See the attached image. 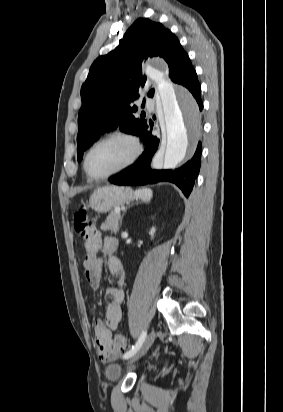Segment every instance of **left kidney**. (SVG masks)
<instances>
[{"label": "left kidney", "mask_w": 283, "mask_h": 412, "mask_svg": "<svg viewBox=\"0 0 283 412\" xmlns=\"http://www.w3.org/2000/svg\"><path fill=\"white\" fill-rule=\"evenodd\" d=\"M154 233H155V228L153 227L149 232V234L151 235L152 238L154 236Z\"/></svg>", "instance_id": "5707ae66"}]
</instances>
